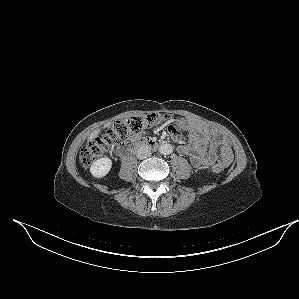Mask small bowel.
I'll return each mask as SVG.
<instances>
[{
	"label": "small bowel",
	"mask_w": 299,
	"mask_h": 299,
	"mask_svg": "<svg viewBox=\"0 0 299 299\" xmlns=\"http://www.w3.org/2000/svg\"><path fill=\"white\" fill-rule=\"evenodd\" d=\"M189 128L202 136V143L199 146H191L189 143L180 144L178 152L188 156L195 168H207L218 161L217 148H219L220 162L223 167L228 166L232 162L233 152L231 146L219 132L207 130L193 122L189 123ZM171 135L175 140L180 139L179 132L171 133Z\"/></svg>",
	"instance_id": "1"
}]
</instances>
